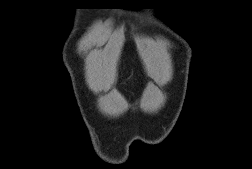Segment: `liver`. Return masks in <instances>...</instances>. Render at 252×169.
<instances>
[{
    "instance_id": "obj_1",
    "label": "liver",
    "mask_w": 252,
    "mask_h": 169,
    "mask_svg": "<svg viewBox=\"0 0 252 169\" xmlns=\"http://www.w3.org/2000/svg\"><path fill=\"white\" fill-rule=\"evenodd\" d=\"M104 79V74L100 68H95L90 75V84L93 88H99Z\"/></svg>"
}]
</instances>
